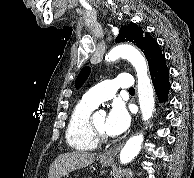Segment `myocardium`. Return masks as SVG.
<instances>
[{"mask_svg":"<svg viewBox=\"0 0 194 178\" xmlns=\"http://www.w3.org/2000/svg\"><path fill=\"white\" fill-rule=\"evenodd\" d=\"M89 124H90L91 130H92V132H93V134H94V136H95V138H96V140L98 142H103V141H106L107 140V136L105 135L104 132H102L101 130H99L95 126V124L93 122V119H90L89 120Z\"/></svg>","mask_w":194,"mask_h":178,"instance_id":"myocardium-1","label":"myocardium"}]
</instances>
